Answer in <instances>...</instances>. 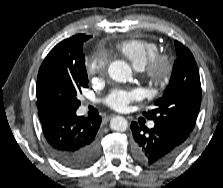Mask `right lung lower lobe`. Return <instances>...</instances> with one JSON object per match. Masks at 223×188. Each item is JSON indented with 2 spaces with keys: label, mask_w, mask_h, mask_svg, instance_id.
Segmentation results:
<instances>
[{
  "label": "right lung lower lobe",
  "mask_w": 223,
  "mask_h": 188,
  "mask_svg": "<svg viewBox=\"0 0 223 188\" xmlns=\"http://www.w3.org/2000/svg\"><path fill=\"white\" fill-rule=\"evenodd\" d=\"M38 115L48 149L59 163L71 169H82L97 160L100 116L78 117L76 110H45Z\"/></svg>",
  "instance_id": "1"
}]
</instances>
